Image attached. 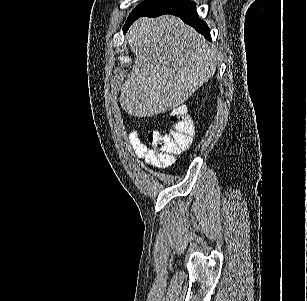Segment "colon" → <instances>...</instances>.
<instances>
[{"instance_id": "5ec220e1", "label": "colon", "mask_w": 307, "mask_h": 301, "mask_svg": "<svg viewBox=\"0 0 307 301\" xmlns=\"http://www.w3.org/2000/svg\"><path fill=\"white\" fill-rule=\"evenodd\" d=\"M171 129L166 132L153 131L148 136L151 150L166 166L175 162L176 155L188 148L194 135V124L184 106L170 112Z\"/></svg>"}]
</instances>
